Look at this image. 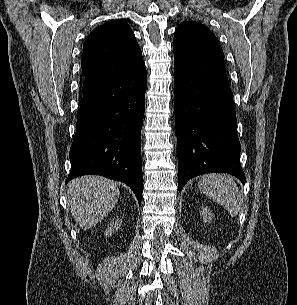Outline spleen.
<instances>
[{"mask_svg": "<svg viewBox=\"0 0 297 305\" xmlns=\"http://www.w3.org/2000/svg\"><path fill=\"white\" fill-rule=\"evenodd\" d=\"M200 190L222 205L231 216H236L242 206V196L231 176L226 174H209L198 183Z\"/></svg>", "mask_w": 297, "mask_h": 305, "instance_id": "3e777b00", "label": "spleen"}]
</instances>
